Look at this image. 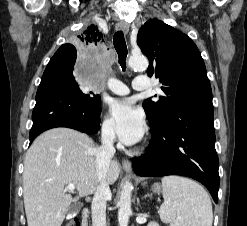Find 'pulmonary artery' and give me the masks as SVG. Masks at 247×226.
Listing matches in <instances>:
<instances>
[{
  "label": "pulmonary artery",
  "instance_id": "e3ab8cb5",
  "mask_svg": "<svg viewBox=\"0 0 247 226\" xmlns=\"http://www.w3.org/2000/svg\"><path fill=\"white\" fill-rule=\"evenodd\" d=\"M132 87L138 91L146 90L149 88V81L145 76H137L132 83ZM108 88L117 95H127L130 92L126 84L115 78L108 81Z\"/></svg>",
  "mask_w": 247,
  "mask_h": 226
}]
</instances>
